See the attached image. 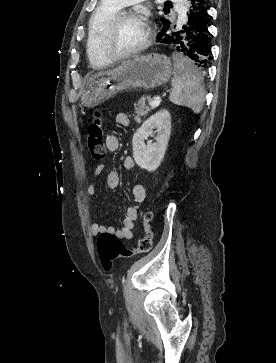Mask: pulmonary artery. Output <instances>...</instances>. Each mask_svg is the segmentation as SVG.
<instances>
[{
  "instance_id": "1",
  "label": "pulmonary artery",
  "mask_w": 276,
  "mask_h": 363,
  "mask_svg": "<svg viewBox=\"0 0 276 363\" xmlns=\"http://www.w3.org/2000/svg\"><path fill=\"white\" fill-rule=\"evenodd\" d=\"M110 1L114 2L119 7H126L141 0H110ZM182 1L183 0H178L179 3H177L176 6H180ZM179 12L181 13V11Z\"/></svg>"
}]
</instances>
